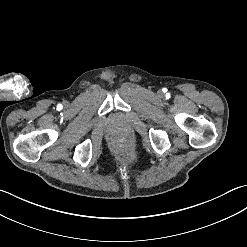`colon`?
Masks as SVG:
<instances>
[{"mask_svg":"<svg viewBox=\"0 0 247 247\" xmlns=\"http://www.w3.org/2000/svg\"><path fill=\"white\" fill-rule=\"evenodd\" d=\"M113 147L119 153H126L132 147V140L126 134H119L113 140Z\"/></svg>","mask_w":247,"mask_h":247,"instance_id":"obj_1","label":"colon"}]
</instances>
